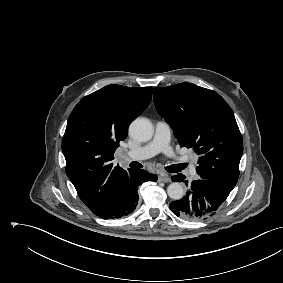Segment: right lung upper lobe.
Instances as JSON below:
<instances>
[{
  "instance_id": "cb5924a9",
  "label": "right lung upper lobe",
  "mask_w": 283,
  "mask_h": 283,
  "mask_svg": "<svg viewBox=\"0 0 283 283\" xmlns=\"http://www.w3.org/2000/svg\"><path fill=\"white\" fill-rule=\"evenodd\" d=\"M152 89L108 85L82 98L71 112L62 139L66 174L88 208L125 187L133 169L113 166V154L130 122L149 105Z\"/></svg>"
}]
</instances>
